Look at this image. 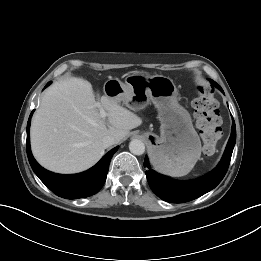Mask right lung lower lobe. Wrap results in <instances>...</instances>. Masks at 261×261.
Listing matches in <instances>:
<instances>
[{
	"label": "right lung lower lobe",
	"mask_w": 261,
	"mask_h": 261,
	"mask_svg": "<svg viewBox=\"0 0 261 261\" xmlns=\"http://www.w3.org/2000/svg\"><path fill=\"white\" fill-rule=\"evenodd\" d=\"M49 84L50 82L46 87ZM33 111L27 123L26 149L29 163L35 174L53 193L62 198L77 199L97 193L106 181L110 160L119 147L113 148L95 166L85 172L74 175H61L50 172L41 167L31 153L29 131Z\"/></svg>",
	"instance_id": "1"
}]
</instances>
